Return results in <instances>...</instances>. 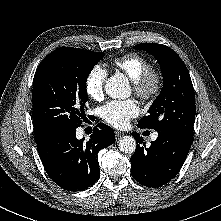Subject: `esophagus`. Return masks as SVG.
<instances>
[{"label":"esophagus","mask_w":221,"mask_h":221,"mask_svg":"<svg viewBox=\"0 0 221 221\" xmlns=\"http://www.w3.org/2000/svg\"><path fill=\"white\" fill-rule=\"evenodd\" d=\"M115 136L117 139L121 138L122 136H124V133L123 132H120V131H116L115 132Z\"/></svg>","instance_id":"obj_1"}]
</instances>
